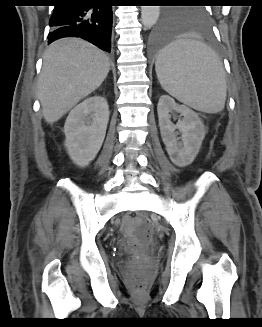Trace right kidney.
<instances>
[{
    "mask_svg": "<svg viewBox=\"0 0 262 327\" xmlns=\"http://www.w3.org/2000/svg\"><path fill=\"white\" fill-rule=\"evenodd\" d=\"M109 109L105 98L93 96L75 106L65 125V147L71 160L80 167L96 157L105 138Z\"/></svg>",
    "mask_w": 262,
    "mask_h": 327,
    "instance_id": "ca27d5eb",
    "label": "right kidney"
}]
</instances>
